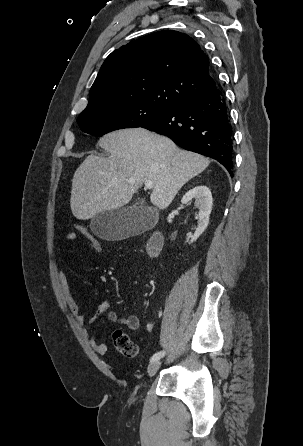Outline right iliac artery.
<instances>
[{
  "label": "right iliac artery",
  "instance_id": "obj_1",
  "mask_svg": "<svg viewBox=\"0 0 303 446\" xmlns=\"http://www.w3.org/2000/svg\"><path fill=\"white\" fill-rule=\"evenodd\" d=\"M164 355H165V351L157 352V353H155V354L151 357L150 362L157 361V360H159L160 358H162Z\"/></svg>",
  "mask_w": 303,
  "mask_h": 446
}]
</instances>
